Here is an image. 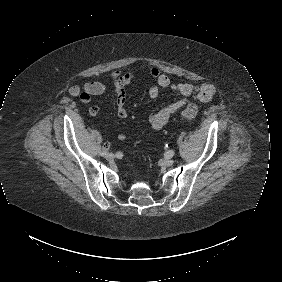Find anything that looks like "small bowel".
<instances>
[{"mask_svg":"<svg viewBox=\"0 0 282 282\" xmlns=\"http://www.w3.org/2000/svg\"><path fill=\"white\" fill-rule=\"evenodd\" d=\"M148 75L155 81L148 90L150 99H157L162 89H170L183 96L181 99L163 107L149 116V124L156 130L162 129L175 113L181 111L185 104L189 102L207 103L210 102L215 95V88L211 84L192 85L188 83L172 82L169 77L162 74L156 67L150 68ZM135 79L136 74L134 72L122 74L117 70L112 74L108 83L91 82L84 86L74 85L69 88V94L73 97H79L81 101H83V95L89 96L91 99L92 96L101 95L108 90H112L116 97L117 115L119 118L125 119L128 116V111L125 107L127 98L125 86ZM99 112V106H93L89 109V115L92 117L97 116ZM117 138L121 141L125 140L126 134L119 132Z\"/></svg>","mask_w":282,"mask_h":282,"instance_id":"obj_1","label":"small bowel"}]
</instances>
